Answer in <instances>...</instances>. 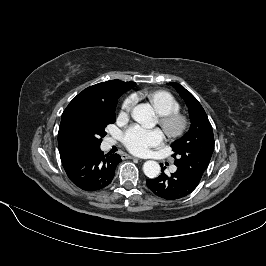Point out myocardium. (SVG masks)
<instances>
[{"label":"myocardium","mask_w":266,"mask_h":266,"mask_svg":"<svg viewBox=\"0 0 266 266\" xmlns=\"http://www.w3.org/2000/svg\"><path fill=\"white\" fill-rule=\"evenodd\" d=\"M160 124L165 133L171 138L181 137L189 127V119L186 115L175 112L168 115H162Z\"/></svg>","instance_id":"myocardium-1"}]
</instances>
